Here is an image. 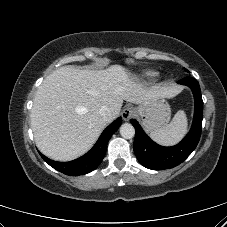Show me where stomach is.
I'll list each match as a JSON object with an SVG mask.
<instances>
[{
    "label": "stomach",
    "mask_w": 227,
    "mask_h": 227,
    "mask_svg": "<svg viewBox=\"0 0 227 227\" xmlns=\"http://www.w3.org/2000/svg\"><path fill=\"white\" fill-rule=\"evenodd\" d=\"M136 111L148 132L165 126L171 115L170 106L165 102L164 97L153 98L140 105Z\"/></svg>",
    "instance_id": "0dacf381"
}]
</instances>
